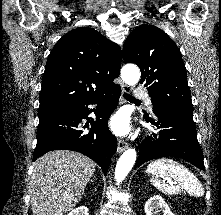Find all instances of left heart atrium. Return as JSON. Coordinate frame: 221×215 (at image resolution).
I'll return each mask as SVG.
<instances>
[{
	"label": "left heart atrium",
	"mask_w": 221,
	"mask_h": 215,
	"mask_svg": "<svg viewBox=\"0 0 221 215\" xmlns=\"http://www.w3.org/2000/svg\"><path fill=\"white\" fill-rule=\"evenodd\" d=\"M111 129L118 135H125L130 130L128 117L125 113H117L110 121Z\"/></svg>",
	"instance_id": "39dd6f15"
}]
</instances>
